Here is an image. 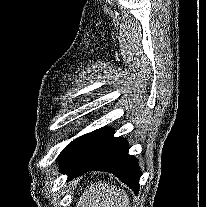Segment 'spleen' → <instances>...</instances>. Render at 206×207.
<instances>
[{"label": "spleen", "instance_id": "spleen-1", "mask_svg": "<svg viewBox=\"0 0 206 207\" xmlns=\"http://www.w3.org/2000/svg\"><path fill=\"white\" fill-rule=\"evenodd\" d=\"M129 203V196L124 190L98 182L84 191L76 207H129Z\"/></svg>", "mask_w": 206, "mask_h": 207}]
</instances>
